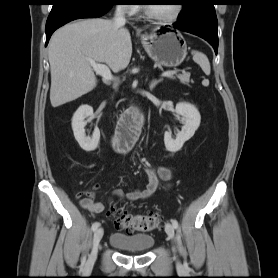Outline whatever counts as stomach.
Wrapping results in <instances>:
<instances>
[{
  "label": "stomach",
  "instance_id": "1",
  "mask_svg": "<svg viewBox=\"0 0 278 278\" xmlns=\"http://www.w3.org/2000/svg\"><path fill=\"white\" fill-rule=\"evenodd\" d=\"M141 43L156 63L165 67H177L187 55V44L183 36L174 31H164L161 34L142 35Z\"/></svg>",
  "mask_w": 278,
  "mask_h": 278
}]
</instances>
